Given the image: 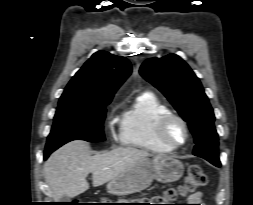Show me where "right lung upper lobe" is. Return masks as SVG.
<instances>
[{"label": "right lung upper lobe", "mask_w": 253, "mask_h": 205, "mask_svg": "<svg viewBox=\"0 0 253 205\" xmlns=\"http://www.w3.org/2000/svg\"><path fill=\"white\" fill-rule=\"evenodd\" d=\"M130 74L131 65L126 58L98 51L68 83L59 104H90L112 99Z\"/></svg>", "instance_id": "obj_1"}]
</instances>
